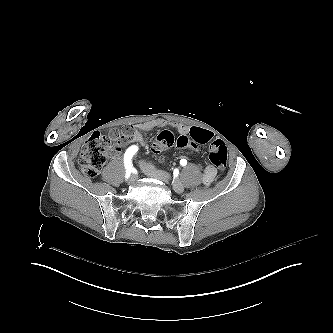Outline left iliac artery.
<instances>
[{"label":"left iliac artery","instance_id":"obj_1","mask_svg":"<svg viewBox=\"0 0 333 333\" xmlns=\"http://www.w3.org/2000/svg\"><path fill=\"white\" fill-rule=\"evenodd\" d=\"M180 164H181L182 166H185V165L187 164V161H186L185 159H181V160H180Z\"/></svg>","mask_w":333,"mask_h":333}]
</instances>
